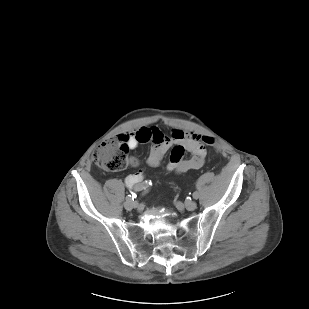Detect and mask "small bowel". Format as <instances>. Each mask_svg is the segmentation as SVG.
Here are the masks:
<instances>
[{"label": "small bowel", "instance_id": "c3829d8e", "mask_svg": "<svg viewBox=\"0 0 309 309\" xmlns=\"http://www.w3.org/2000/svg\"><path fill=\"white\" fill-rule=\"evenodd\" d=\"M127 140L131 149L140 143L152 141L154 143L148 156V163L157 166L164 155L171 149L170 160L167 169L175 174H182L189 170L199 169L206 158V148L201 137L195 133H188L179 128H173L169 135L165 134L157 126H143L134 133L121 134ZM189 156L186 157L185 154ZM131 166L137 165L134 157L129 158ZM142 173L136 172L126 177L125 183L131 188L142 180Z\"/></svg>", "mask_w": 309, "mask_h": 309}]
</instances>
